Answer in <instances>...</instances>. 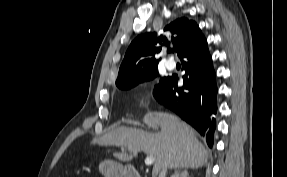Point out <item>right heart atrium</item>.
I'll return each instance as SVG.
<instances>
[{"instance_id": "obj_1", "label": "right heart atrium", "mask_w": 287, "mask_h": 177, "mask_svg": "<svg viewBox=\"0 0 287 177\" xmlns=\"http://www.w3.org/2000/svg\"><path fill=\"white\" fill-rule=\"evenodd\" d=\"M149 96V93L144 94L142 100H145V98H147Z\"/></svg>"}]
</instances>
